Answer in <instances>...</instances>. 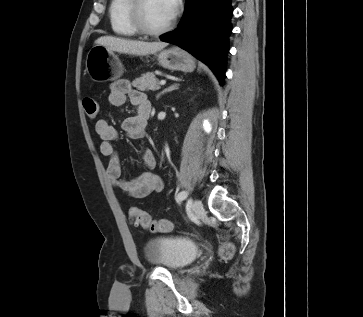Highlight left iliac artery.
Returning <instances> with one entry per match:
<instances>
[{
  "mask_svg": "<svg viewBox=\"0 0 363 317\" xmlns=\"http://www.w3.org/2000/svg\"><path fill=\"white\" fill-rule=\"evenodd\" d=\"M187 196H188V193H187L186 191H181V192L177 195V197H176V201H177V202H181V201H183L184 199H186V198H187Z\"/></svg>",
  "mask_w": 363,
  "mask_h": 317,
  "instance_id": "left-iliac-artery-1",
  "label": "left iliac artery"
}]
</instances>
